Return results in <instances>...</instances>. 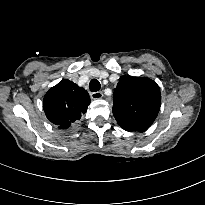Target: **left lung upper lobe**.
Segmentation results:
<instances>
[{
  "label": "left lung upper lobe",
  "mask_w": 205,
  "mask_h": 205,
  "mask_svg": "<svg viewBox=\"0 0 205 205\" xmlns=\"http://www.w3.org/2000/svg\"><path fill=\"white\" fill-rule=\"evenodd\" d=\"M161 106L160 88L149 78L123 76L113 96V115L126 131H146Z\"/></svg>",
  "instance_id": "left-lung-upper-lobe-1"
}]
</instances>
